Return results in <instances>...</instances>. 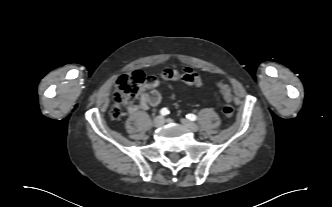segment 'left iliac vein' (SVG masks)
Masks as SVG:
<instances>
[{
	"instance_id": "4c4485c4",
	"label": "left iliac vein",
	"mask_w": 332,
	"mask_h": 207,
	"mask_svg": "<svg viewBox=\"0 0 332 207\" xmlns=\"http://www.w3.org/2000/svg\"><path fill=\"white\" fill-rule=\"evenodd\" d=\"M180 121L184 126H186L189 130H191L193 132H197L199 130V127L195 123H193L187 119H181Z\"/></svg>"
}]
</instances>
